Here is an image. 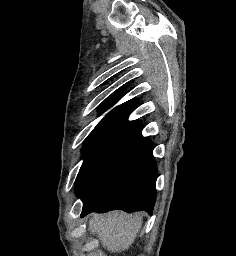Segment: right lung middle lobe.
Here are the masks:
<instances>
[{"label":"right lung middle lobe","mask_w":236,"mask_h":256,"mask_svg":"<svg viewBox=\"0 0 236 256\" xmlns=\"http://www.w3.org/2000/svg\"><path fill=\"white\" fill-rule=\"evenodd\" d=\"M141 128L138 121L119 118L103 119L97 124L83 145L84 162L75 182L78 196L107 164L142 137Z\"/></svg>","instance_id":"obj_1"}]
</instances>
